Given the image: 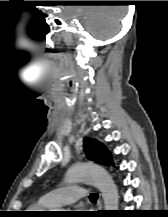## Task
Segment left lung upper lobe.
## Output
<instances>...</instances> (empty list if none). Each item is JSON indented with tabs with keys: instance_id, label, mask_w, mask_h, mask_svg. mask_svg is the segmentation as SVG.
I'll list each match as a JSON object with an SVG mask.
<instances>
[{
	"instance_id": "1",
	"label": "left lung upper lobe",
	"mask_w": 168,
	"mask_h": 217,
	"mask_svg": "<svg viewBox=\"0 0 168 217\" xmlns=\"http://www.w3.org/2000/svg\"><path fill=\"white\" fill-rule=\"evenodd\" d=\"M83 142L84 153L88 159L104 165L112 163L111 154L102 143L90 138H84Z\"/></svg>"
}]
</instances>
